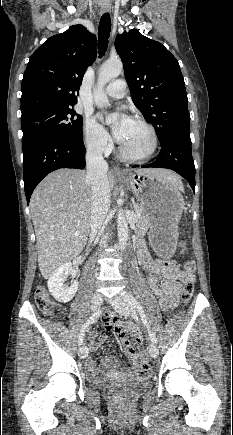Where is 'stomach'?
<instances>
[{"mask_svg": "<svg viewBox=\"0 0 233 435\" xmlns=\"http://www.w3.org/2000/svg\"><path fill=\"white\" fill-rule=\"evenodd\" d=\"M122 181L144 209L154 248L161 256L171 257L185 205L179 188L162 177L149 174H129Z\"/></svg>", "mask_w": 233, "mask_h": 435, "instance_id": "0dacf381", "label": "stomach"}]
</instances>
